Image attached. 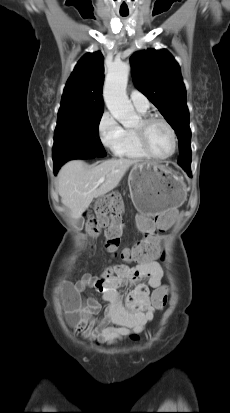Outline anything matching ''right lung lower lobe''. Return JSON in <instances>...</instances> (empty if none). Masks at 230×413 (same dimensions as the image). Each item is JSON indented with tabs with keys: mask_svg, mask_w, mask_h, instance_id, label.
Instances as JSON below:
<instances>
[{
	"mask_svg": "<svg viewBox=\"0 0 230 413\" xmlns=\"http://www.w3.org/2000/svg\"><path fill=\"white\" fill-rule=\"evenodd\" d=\"M61 166H62V165L54 164V173H55V174L57 173V171L59 170V168H60Z\"/></svg>",
	"mask_w": 230,
	"mask_h": 413,
	"instance_id": "right-lung-lower-lobe-1",
	"label": "right lung lower lobe"
}]
</instances>
